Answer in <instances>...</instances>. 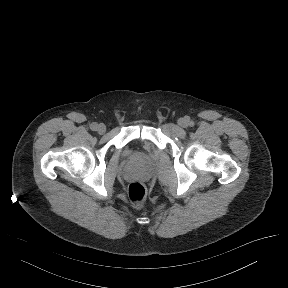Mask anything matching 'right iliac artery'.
<instances>
[{
	"label": "right iliac artery",
	"instance_id": "1",
	"mask_svg": "<svg viewBox=\"0 0 288 288\" xmlns=\"http://www.w3.org/2000/svg\"><path fill=\"white\" fill-rule=\"evenodd\" d=\"M97 125V123H92L90 127L92 130H97Z\"/></svg>",
	"mask_w": 288,
	"mask_h": 288
}]
</instances>
